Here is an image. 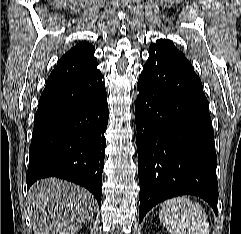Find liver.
I'll return each mask as SVG.
<instances>
[{
  "label": "liver",
  "mask_w": 241,
  "mask_h": 234,
  "mask_svg": "<svg viewBox=\"0 0 241 234\" xmlns=\"http://www.w3.org/2000/svg\"><path fill=\"white\" fill-rule=\"evenodd\" d=\"M27 200L34 234H75L96 211L89 191L56 178L37 181Z\"/></svg>",
  "instance_id": "obj_1"
}]
</instances>
